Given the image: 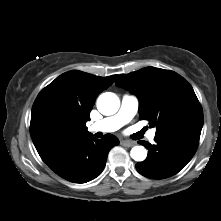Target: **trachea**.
Wrapping results in <instances>:
<instances>
[{
    "label": "trachea",
    "mask_w": 221,
    "mask_h": 221,
    "mask_svg": "<svg viewBox=\"0 0 221 221\" xmlns=\"http://www.w3.org/2000/svg\"><path fill=\"white\" fill-rule=\"evenodd\" d=\"M146 129H143L138 135L142 136V134L145 132Z\"/></svg>",
    "instance_id": "obj_1"
}]
</instances>
